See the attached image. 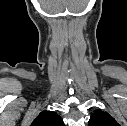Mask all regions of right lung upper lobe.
<instances>
[{
  "mask_svg": "<svg viewBox=\"0 0 127 126\" xmlns=\"http://www.w3.org/2000/svg\"><path fill=\"white\" fill-rule=\"evenodd\" d=\"M31 126H64L61 117L53 111H42Z\"/></svg>",
  "mask_w": 127,
  "mask_h": 126,
  "instance_id": "1",
  "label": "right lung upper lobe"
}]
</instances>
